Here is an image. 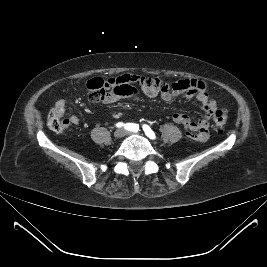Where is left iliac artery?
<instances>
[{
	"mask_svg": "<svg viewBox=\"0 0 267 267\" xmlns=\"http://www.w3.org/2000/svg\"><path fill=\"white\" fill-rule=\"evenodd\" d=\"M143 130L145 132V134L151 138V139H154L156 136L154 134V132L151 130V128L148 126V125H143Z\"/></svg>",
	"mask_w": 267,
	"mask_h": 267,
	"instance_id": "1",
	"label": "left iliac artery"
}]
</instances>
